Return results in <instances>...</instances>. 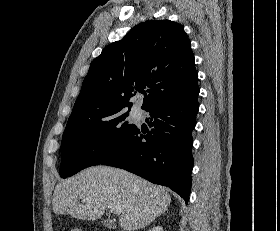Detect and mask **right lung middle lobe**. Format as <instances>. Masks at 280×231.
Returning <instances> with one entry per match:
<instances>
[{
	"instance_id": "dd1d6c3e",
	"label": "right lung middle lobe",
	"mask_w": 280,
	"mask_h": 231,
	"mask_svg": "<svg viewBox=\"0 0 280 231\" xmlns=\"http://www.w3.org/2000/svg\"><path fill=\"white\" fill-rule=\"evenodd\" d=\"M122 111L91 119H70L62 136L60 176L101 164L135 128Z\"/></svg>"
}]
</instances>
